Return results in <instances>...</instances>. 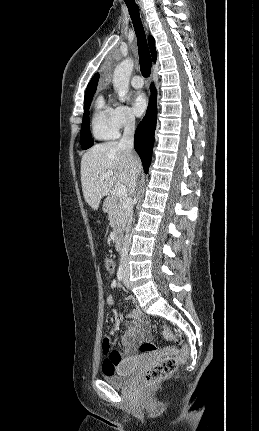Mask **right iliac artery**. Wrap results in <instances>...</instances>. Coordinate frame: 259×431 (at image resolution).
Wrapping results in <instances>:
<instances>
[{
	"instance_id": "obj_1",
	"label": "right iliac artery",
	"mask_w": 259,
	"mask_h": 431,
	"mask_svg": "<svg viewBox=\"0 0 259 431\" xmlns=\"http://www.w3.org/2000/svg\"><path fill=\"white\" fill-rule=\"evenodd\" d=\"M123 274H124L123 265L120 264L118 271H117V278L119 281H121L123 279Z\"/></svg>"
}]
</instances>
